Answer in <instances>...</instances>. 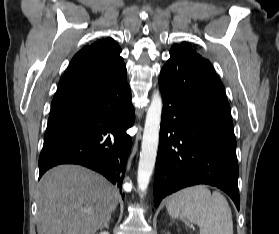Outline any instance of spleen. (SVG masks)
Instances as JSON below:
<instances>
[{
  "mask_svg": "<svg viewBox=\"0 0 279 234\" xmlns=\"http://www.w3.org/2000/svg\"><path fill=\"white\" fill-rule=\"evenodd\" d=\"M172 218L183 217L199 226L200 234H233L232 213L225 197L204 185L178 191L167 199Z\"/></svg>",
  "mask_w": 279,
  "mask_h": 234,
  "instance_id": "3e777b00",
  "label": "spleen"
}]
</instances>
